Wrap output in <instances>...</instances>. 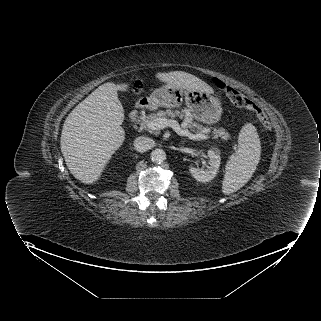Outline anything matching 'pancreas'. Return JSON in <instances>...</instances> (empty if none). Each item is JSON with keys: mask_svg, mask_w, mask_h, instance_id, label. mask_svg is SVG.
<instances>
[{"mask_svg": "<svg viewBox=\"0 0 321 321\" xmlns=\"http://www.w3.org/2000/svg\"><path fill=\"white\" fill-rule=\"evenodd\" d=\"M167 117H171V118L179 117L180 119L185 118V128L190 129L191 131H193L196 134H206L209 132L207 128H205L202 125H200L199 123L193 121V116L190 113V111L187 109H184L181 111H178V110L172 111L169 109L166 111L160 110L157 113H153V114H150L147 117H145L141 121V125L144 126L149 132L157 135V134H159V131L150 129L148 127L149 123L156 120V119L167 118ZM212 132L215 137H221L223 139L229 138V133L224 128H218V129L214 128Z\"/></svg>", "mask_w": 321, "mask_h": 321, "instance_id": "cf45deb5", "label": "pancreas"}]
</instances>
